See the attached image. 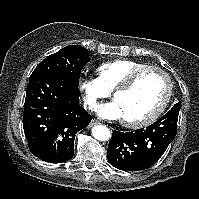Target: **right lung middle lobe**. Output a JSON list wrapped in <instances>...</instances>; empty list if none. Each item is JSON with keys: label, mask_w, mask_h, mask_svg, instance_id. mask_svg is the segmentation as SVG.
I'll return each mask as SVG.
<instances>
[{"label": "right lung middle lobe", "mask_w": 199, "mask_h": 199, "mask_svg": "<svg viewBox=\"0 0 199 199\" xmlns=\"http://www.w3.org/2000/svg\"><path fill=\"white\" fill-rule=\"evenodd\" d=\"M89 52L79 45H69L49 55L33 71L31 76L56 73L79 85L81 70L89 62Z\"/></svg>", "instance_id": "1"}]
</instances>
